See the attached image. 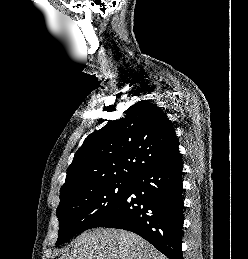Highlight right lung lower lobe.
<instances>
[{
	"instance_id": "right-lung-lower-lobe-1",
	"label": "right lung lower lobe",
	"mask_w": 248,
	"mask_h": 259,
	"mask_svg": "<svg viewBox=\"0 0 248 259\" xmlns=\"http://www.w3.org/2000/svg\"><path fill=\"white\" fill-rule=\"evenodd\" d=\"M182 191V160L179 156L133 178L112 215L97 227L132 231L169 259H183Z\"/></svg>"
}]
</instances>
